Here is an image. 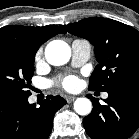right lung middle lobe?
<instances>
[{"instance_id": "1", "label": "right lung middle lobe", "mask_w": 139, "mask_h": 139, "mask_svg": "<svg viewBox=\"0 0 139 139\" xmlns=\"http://www.w3.org/2000/svg\"><path fill=\"white\" fill-rule=\"evenodd\" d=\"M36 52L31 45L0 40V95H31Z\"/></svg>"}]
</instances>
